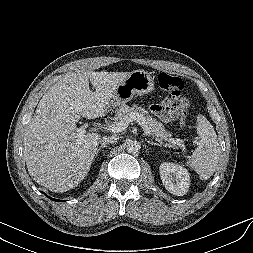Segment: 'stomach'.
Wrapping results in <instances>:
<instances>
[{"mask_svg":"<svg viewBox=\"0 0 253 253\" xmlns=\"http://www.w3.org/2000/svg\"><path fill=\"white\" fill-rule=\"evenodd\" d=\"M154 89L152 76L144 70H134L117 86L111 107H117L133 99L135 95H145Z\"/></svg>","mask_w":253,"mask_h":253,"instance_id":"obj_1","label":"stomach"}]
</instances>
